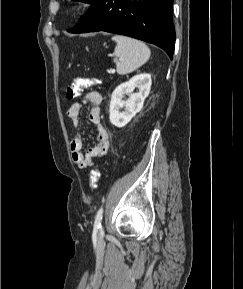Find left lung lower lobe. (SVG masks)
Here are the masks:
<instances>
[{
    "instance_id": "0a47b994",
    "label": "left lung lower lobe",
    "mask_w": 243,
    "mask_h": 289,
    "mask_svg": "<svg viewBox=\"0 0 243 289\" xmlns=\"http://www.w3.org/2000/svg\"><path fill=\"white\" fill-rule=\"evenodd\" d=\"M173 0H93L70 33L106 31L155 44L173 58Z\"/></svg>"
}]
</instances>
